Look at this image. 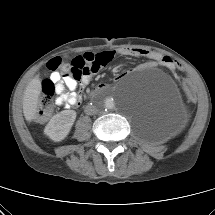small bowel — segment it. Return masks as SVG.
Segmentation results:
<instances>
[{
    "label": "small bowel",
    "instance_id": "1",
    "mask_svg": "<svg viewBox=\"0 0 215 215\" xmlns=\"http://www.w3.org/2000/svg\"><path fill=\"white\" fill-rule=\"evenodd\" d=\"M119 55L147 58L149 60L148 65L159 64L166 67L173 65V61L169 56L141 48H121L98 53L86 52L79 56L84 64L83 73L79 79H76L73 75L66 77L58 72L52 73L51 78L55 82L57 93L56 104L66 107L78 105L81 99L80 95L76 92L78 86L88 85L103 67Z\"/></svg>",
    "mask_w": 215,
    "mask_h": 215
}]
</instances>
